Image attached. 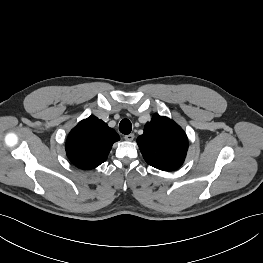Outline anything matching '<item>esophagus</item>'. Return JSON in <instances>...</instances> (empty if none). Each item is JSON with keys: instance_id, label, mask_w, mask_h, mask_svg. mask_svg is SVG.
<instances>
[{"instance_id": "34e87169", "label": "esophagus", "mask_w": 263, "mask_h": 263, "mask_svg": "<svg viewBox=\"0 0 263 263\" xmlns=\"http://www.w3.org/2000/svg\"><path fill=\"white\" fill-rule=\"evenodd\" d=\"M134 134L133 133H130V134H128V135H125L124 136V139L126 140V141H132L133 139H134Z\"/></svg>"}]
</instances>
